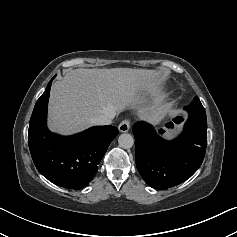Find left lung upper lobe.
<instances>
[{
	"label": "left lung upper lobe",
	"instance_id": "1",
	"mask_svg": "<svg viewBox=\"0 0 237 237\" xmlns=\"http://www.w3.org/2000/svg\"><path fill=\"white\" fill-rule=\"evenodd\" d=\"M185 109L189 113L190 117H194L201 120H207L205 109L197 96L188 106L185 107Z\"/></svg>",
	"mask_w": 237,
	"mask_h": 237
}]
</instances>
